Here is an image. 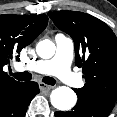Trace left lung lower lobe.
Here are the masks:
<instances>
[{"label": "left lung lower lobe", "instance_id": "left-lung-lower-lobe-1", "mask_svg": "<svg viewBox=\"0 0 117 117\" xmlns=\"http://www.w3.org/2000/svg\"><path fill=\"white\" fill-rule=\"evenodd\" d=\"M78 101L72 111L55 113L56 117H107L114 107L113 102L77 94Z\"/></svg>", "mask_w": 117, "mask_h": 117}]
</instances>
